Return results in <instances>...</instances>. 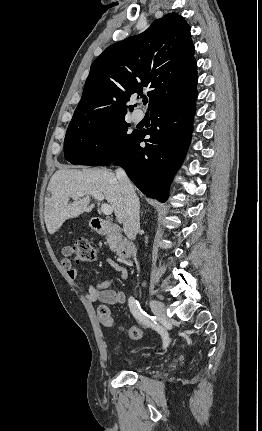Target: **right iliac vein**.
I'll return each instance as SVG.
<instances>
[{
	"mask_svg": "<svg viewBox=\"0 0 262 431\" xmlns=\"http://www.w3.org/2000/svg\"><path fill=\"white\" fill-rule=\"evenodd\" d=\"M150 307H151L153 313L155 315H157L158 317L164 318L166 316V308H165L164 303H162L161 301L152 299L150 301Z\"/></svg>",
	"mask_w": 262,
	"mask_h": 431,
	"instance_id": "right-iliac-vein-1",
	"label": "right iliac vein"
}]
</instances>
